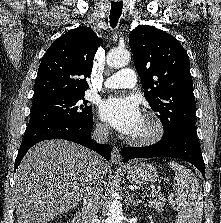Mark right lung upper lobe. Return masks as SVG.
Instances as JSON below:
<instances>
[{
  "label": "right lung upper lobe",
  "instance_id": "right-lung-upper-lobe-1",
  "mask_svg": "<svg viewBox=\"0 0 221 223\" xmlns=\"http://www.w3.org/2000/svg\"><path fill=\"white\" fill-rule=\"evenodd\" d=\"M100 44L102 40L86 26L72 29L53 42L39 66L33 101L85 93Z\"/></svg>",
  "mask_w": 221,
  "mask_h": 223
}]
</instances>
